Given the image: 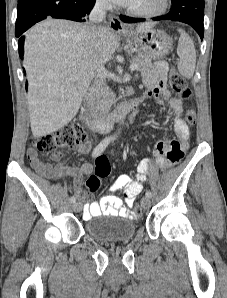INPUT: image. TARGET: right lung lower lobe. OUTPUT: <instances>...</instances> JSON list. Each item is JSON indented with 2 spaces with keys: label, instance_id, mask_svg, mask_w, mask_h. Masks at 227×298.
<instances>
[{
  "label": "right lung lower lobe",
  "instance_id": "98d812e1",
  "mask_svg": "<svg viewBox=\"0 0 227 298\" xmlns=\"http://www.w3.org/2000/svg\"><path fill=\"white\" fill-rule=\"evenodd\" d=\"M96 0H21L17 7L15 36L19 39V55L23 58L22 34L35 23L52 17L85 22Z\"/></svg>",
  "mask_w": 227,
  "mask_h": 298
}]
</instances>
